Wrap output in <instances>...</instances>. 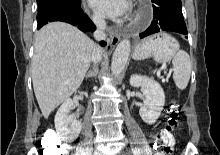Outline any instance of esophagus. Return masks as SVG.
<instances>
[{
  "label": "esophagus",
  "mask_w": 220,
  "mask_h": 155,
  "mask_svg": "<svg viewBox=\"0 0 220 155\" xmlns=\"http://www.w3.org/2000/svg\"><path fill=\"white\" fill-rule=\"evenodd\" d=\"M111 46L115 47L120 41V37L117 34L111 33L109 38Z\"/></svg>",
  "instance_id": "34e87169"
}]
</instances>
